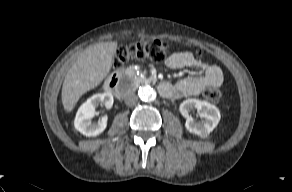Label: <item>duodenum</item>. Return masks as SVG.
<instances>
[{
  "mask_svg": "<svg viewBox=\"0 0 292 192\" xmlns=\"http://www.w3.org/2000/svg\"><path fill=\"white\" fill-rule=\"evenodd\" d=\"M106 89L107 91L115 95L117 98H121L123 96L121 75L119 74L113 75L107 81ZM158 89H159L160 94L162 96H165L170 92L171 86L169 83L162 82L159 84Z\"/></svg>",
  "mask_w": 292,
  "mask_h": 192,
  "instance_id": "duodenum-1",
  "label": "duodenum"
}]
</instances>
